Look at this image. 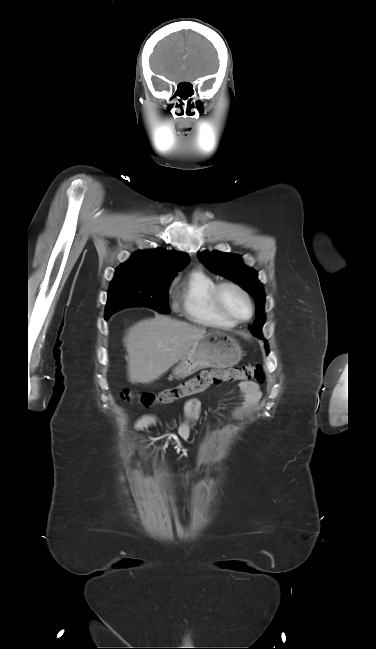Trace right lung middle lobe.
<instances>
[{
  "label": "right lung middle lobe",
  "mask_w": 376,
  "mask_h": 649,
  "mask_svg": "<svg viewBox=\"0 0 376 649\" xmlns=\"http://www.w3.org/2000/svg\"><path fill=\"white\" fill-rule=\"evenodd\" d=\"M176 272L152 275L132 263H123L115 272L108 291L105 319L130 306H146L169 313L168 288Z\"/></svg>",
  "instance_id": "obj_1"
}]
</instances>
